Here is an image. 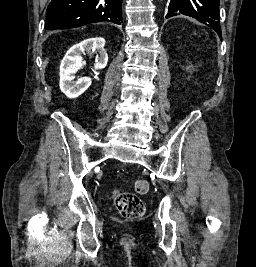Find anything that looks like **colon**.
I'll return each mask as SVG.
<instances>
[{
    "mask_svg": "<svg viewBox=\"0 0 256 267\" xmlns=\"http://www.w3.org/2000/svg\"><path fill=\"white\" fill-rule=\"evenodd\" d=\"M135 190L136 192H148V182L145 180L136 181ZM122 196L123 197H117L119 200H114L115 206L122 217L134 219L143 215L145 211V204L140 198L131 193Z\"/></svg>",
    "mask_w": 256,
    "mask_h": 267,
    "instance_id": "5ec220e1",
    "label": "colon"
}]
</instances>
